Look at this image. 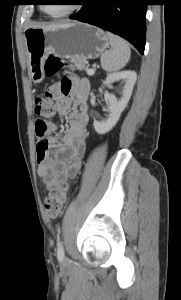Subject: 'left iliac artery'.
<instances>
[{
    "mask_svg": "<svg viewBox=\"0 0 181 300\" xmlns=\"http://www.w3.org/2000/svg\"><path fill=\"white\" fill-rule=\"evenodd\" d=\"M57 247H58V249H57V257H58V260H62L63 257H64V249H63V244H62V242H59V243L57 244Z\"/></svg>",
    "mask_w": 181,
    "mask_h": 300,
    "instance_id": "44dca946",
    "label": "left iliac artery"
}]
</instances>
